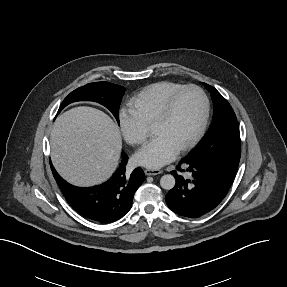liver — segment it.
I'll use <instances>...</instances> for the list:
<instances>
[{"label":"liver","mask_w":287,"mask_h":287,"mask_svg":"<svg viewBox=\"0 0 287 287\" xmlns=\"http://www.w3.org/2000/svg\"><path fill=\"white\" fill-rule=\"evenodd\" d=\"M51 160L69 183L93 186L118 166L122 139L117 125L104 112L76 107L61 114L51 131Z\"/></svg>","instance_id":"obj_1"}]
</instances>
